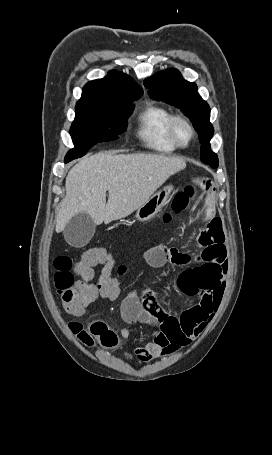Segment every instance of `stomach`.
<instances>
[{
  "label": "stomach",
  "mask_w": 272,
  "mask_h": 455,
  "mask_svg": "<svg viewBox=\"0 0 272 455\" xmlns=\"http://www.w3.org/2000/svg\"><path fill=\"white\" fill-rule=\"evenodd\" d=\"M173 189V185L169 184L153 194L144 205L137 209L135 217L142 222L152 219L165 206Z\"/></svg>",
  "instance_id": "0dacf381"
}]
</instances>
